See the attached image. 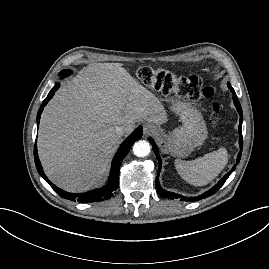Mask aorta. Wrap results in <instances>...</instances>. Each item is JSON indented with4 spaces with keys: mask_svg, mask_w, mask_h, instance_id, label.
<instances>
[{
    "mask_svg": "<svg viewBox=\"0 0 269 269\" xmlns=\"http://www.w3.org/2000/svg\"><path fill=\"white\" fill-rule=\"evenodd\" d=\"M150 144L144 140L135 142L133 145V153L138 157H145L150 153Z\"/></svg>",
    "mask_w": 269,
    "mask_h": 269,
    "instance_id": "aorta-1",
    "label": "aorta"
}]
</instances>
